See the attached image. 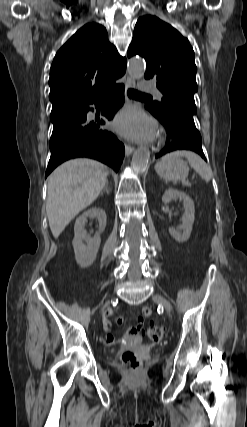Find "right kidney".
I'll list each match as a JSON object with an SVG mask.
<instances>
[{
	"label": "right kidney",
	"mask_w": 247,
	"mask_h": 427,
	"mask_svg": "<svg viewBox=\"0 0 247 427\" xmlns=\"http://www.w3.org/2000/svg\"><path fill=\"white\" fill-rule=\"evenodd\" d=\"M88 217L96 218L99 223V231L93 238L84 229ZM105 227L106 213L101 208H91L77 218L74 226L73 248L76 262L80 267L86 268L95 261L101 242L100 233L105 230Z\"/></svg>",
	"instance_id": "right-kidney-1"
}]
</instances>
